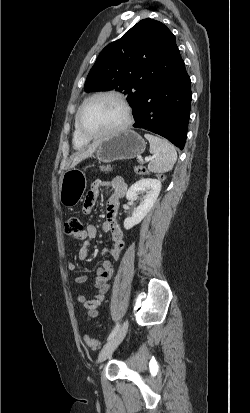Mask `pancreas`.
I'll use <instances>...</instances> for the list:
<instances>
[{
	"label": "pancreas",
	"mask_w": 250,
	"mask_h": 413,
	"mask_svg": "<svg viewBox=\"0 0 250 413\" xmlns=\"http://www.w3.org/2000/svg\"><path fill=\"white\" fill-rule=\"evenodd\" d=\"M138 169H142V167H137V168H135V171H136V173H138V174H143L142 172H138ZM100 170H101V171H104V172H108V171H111V170H112V167H111L110 165L100 166Z\"/></svg>",
	"instance_id": "cf45deb5"
}]
</instances>
